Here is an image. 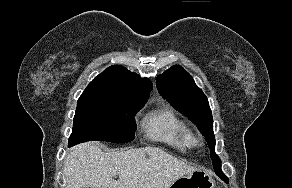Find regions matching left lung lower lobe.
Here are the masks:
<instances>
[{
  "label": "left lung lower lobe",
  "mask_w": 292,
  "mask_h": 188,
  "mask_svg": "<svg viewBox=\"0 0 292 188\" xmlns=\"http://www.w3.org/2000/svg\"><path fill=\"white\" fill-rule=\"evenodd\" d=\"M214 170H215V172H216V174H217L218 176L222 177L223 173H222V171H221V168H216V169H214Z\"/></svg>",
  "instance_id": "0a47b994"
}]
</instances>
